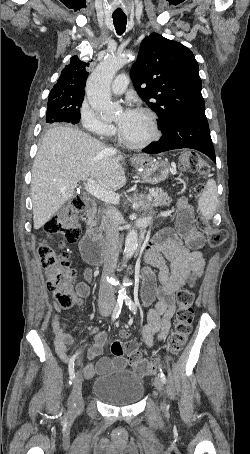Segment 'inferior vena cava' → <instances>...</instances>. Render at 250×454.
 <instances>
[{
    "mask_svg": "<svg viewBox=\"0 0 250 454\" xmlns=\"http://www.w3.org/2000/svg\"><path fill=\"white\" fill-rule=\"evenodd\" d=\"M111 153H116V149L109 148ZM105 229V249H104V270L99 289V305H113L115 302L114 289L107 283L106 276L113 273L120 252L118 225L114 217V211L108 209L104 216Z\"/></svg>",
    "mask_w": 250,
    "mask_h": 454,
    "instance_id": "inferior-vena-cava-1",
    "label": "inferior vena cava"
}]
</instances>
